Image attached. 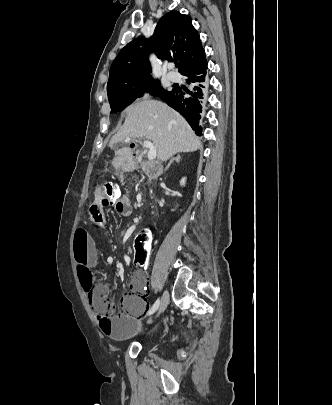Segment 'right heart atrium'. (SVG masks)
Listing matches in <instances>:
<instances>
[{
	"instance_id": "right-heart-atrium-1",
	"label": "right heart atrium",
	"mask_w": 332,
	"mask_h": 405,
	"mask_svg": "<svg viewBox=\"0 0 332 405\" xmlns=\"http://www.w3.org/2000/svg\"><path fill=\"white\" fill-rule=\"evenodd\" d=\"M151 96H152V92L150 89H143L138 93L137 98L138 99H148Z\"/></svg>"
}]
</instances>
